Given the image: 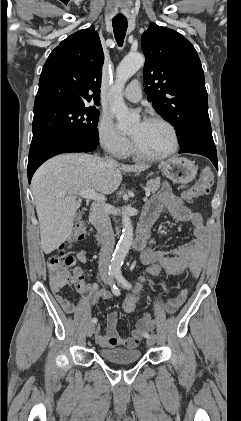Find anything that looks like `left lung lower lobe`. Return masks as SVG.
Listing matches in <instances>:
<instances>
[{
    "mask_svg": "<svg viewBox=\"0 0 241 421\" xmlns=\"http://www.w3.org/2000/svg\"><path fill=\"white\" fill-rule=\"evenodd\" d=\"M180 153L200 154L209 158L218 170L217 152L211 132H204L191 143L182 146Z\"/></svg>",
    "mask_w": 241,
    "mask_h": 421,
    "instance_id": "obj_1",
    "label": "left lung lower lobe"
}]
</instances>
